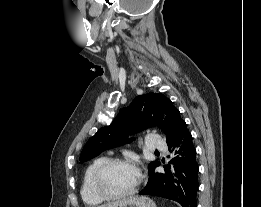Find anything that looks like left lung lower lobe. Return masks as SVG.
<instances>
[{"instance_id":"1","label":"left lung lower lobe","mask_w":261,"mask_h":207,"mask_svg":"<svg viewBox=\"0 0 261 207\" xmlns=\"http://www.w3.org/2000/svg\"><path fill=\"white\" fill-rule=\"evenodd\" d=\"M167 144L169 151L173 152V159L164 166V172L155 173V168L149 172L148 183L139 194L174 200L183 207H196L199 167L192 135L184 120L179 123L173 139Z\"/></svg>"}]
</instances>
